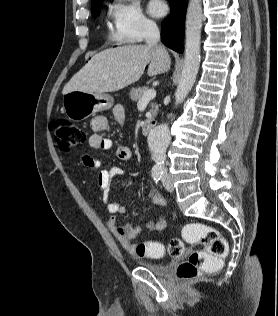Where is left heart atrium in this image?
<instances>
[{"mask_svg": "<svg viewBox=\"0 0 278 316\" xmlns=\"http://www.w3.org/2000/svg\"><path fill=\"white\" fill-rule=\"evenodd\" d=\"M149 13L154 17H162L167 11V4L163 0H151L148 5Z\"/></svg>", "mask_w": 278, "mask_h": 316, "instance_id": "left-heart-atrium-1", "label": "left heart atrium"}]
</instances>
